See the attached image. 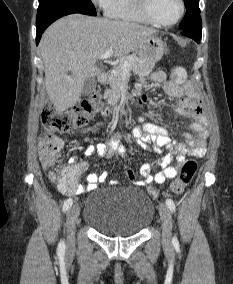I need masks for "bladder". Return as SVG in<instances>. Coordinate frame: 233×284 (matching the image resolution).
Masks as SVG:
<instances>
[{"label":"bladder","mask_w":233,"mask_h":284,"mask_svg":"<svg viewBox=\"0 0 233 284\" xmlns=\"http://www.w3.org/2000/svg\"><path fill=\"white\" fill-rule=\"evenodd\" d=\"M150 197L137 188L97 191L86 200L83 220L96 232L109 237L140 234L154 218Z\"/></svg>","instance_id":"31cf9c89"}]
</instances>
